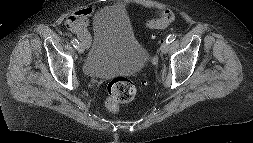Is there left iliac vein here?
Instances as JSON below:
<instances>
[{
  "instance_id": "1",
  "label": "left iliac vein",
  "mask_w": 253,
  "mask_h": 143,
  "mask_svg": "<svg viewBox=\"0 0 253 143\" xmlns=\"http://www.w3.org/2000/svg\"><path fill=\"white\" fill-rule=\"evenodd\" d=\"M160 49L163 54H166L169 51V43L167 42L162 43Z\"/></svg>"
}]
</instances>
